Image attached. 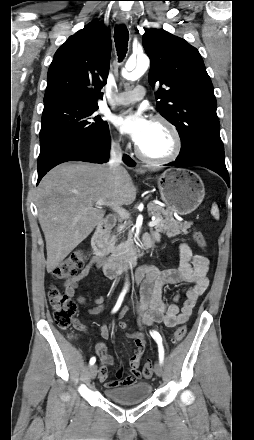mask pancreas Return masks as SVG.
I'll return each instance as SVG.
<instances>
[{"mask_svg": "<svg viewBox=\"0 0 254 440\" xmlns=\"http://www.w3.org/2000/svg\"><path fill=\"white\" fill-rule=\"evenodd\" d=\"M147 208L150 216L161 218V221L155 226L156 231L164 233L168 237H175L180 234L186 235L189 233L188 229L192 226V222H179L173 218V215L169 210L154 203L148 204ZM127 226H129V224L126 222L119 224L116 232L106 237V245L112 257L121 254L123 249L132 241V233L129 231L127 241L116 245L118 236L127 229Z\"/></svg>", "mask_w": 254, "mask_h": 440, "instance_id": "pancreas-1", "label": "pancreas"}]
</instances>
